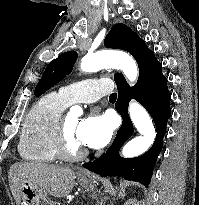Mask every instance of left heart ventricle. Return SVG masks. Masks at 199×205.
<instances>
[{
	"mask_svg": "<svg viewBox=\"0 0 199 205\" xmlns=\"http://www.w3.org/2000/svg\"><path fill=\"white\" fill-rule=\"evenodd\" d=\"M79 123H80V120L77 116H73V115L66 116L67 142L71 148H81L82 147V144L80 143L77 137V129H78Z\"/></svg>",
	"mask_w": 199,
	"mask_h": 205,
	"instance_id": "b2bd125f",
	"label": "left heart ventricle"
}]
</instances>
